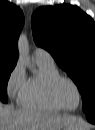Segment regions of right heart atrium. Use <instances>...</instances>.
<instances>
[{"instance_id": "right-heart-atrium-1", "label": "right heart atrium", "mask_w": 95, "mask_h": 130, "mask_svg": "<svg viewBox=\"0 0 95 130\" xmlns=\"http://www.w3.org/2000/svg\"><path fill=\"white\" fill-rule=\"evenodd\" d=\"M26 74L23 65L18 62L10 71L7 81L6 90L11 99L20 101L21 95L26 85Z\"/></svg>"}]
</instances>
